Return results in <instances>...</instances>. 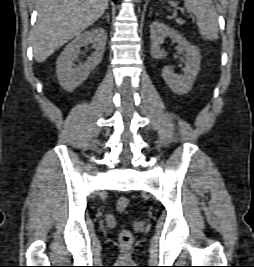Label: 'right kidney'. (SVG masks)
<instances>
[{"label":"right kidney","instance_id":"obj_1","mask_svg":"<svg viewBox=\"0 0 254 267\" xmlns=\"http://www.w3.org/2000/svg\"><path fill=\"white\" fill-rule=\"evenodd\" d=\"M107 33L101 27L92 28L78 35L60 54L56 63V72L60 85L66 91H73L83 83L90 72L102 61L106 46ZM91 44L95 51L84 64L76 67L74 61L81 47Z\"/></svg>","mask_w":254,"mask_h":267}]
</instances>
